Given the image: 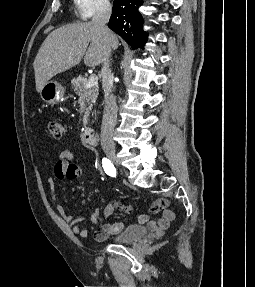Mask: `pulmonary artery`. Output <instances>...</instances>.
Wrapping results in <instances>:
<instances>
[{"mask_svg":"<svg viewBox=\"0 0 255 287\" xmlns=\"http://www.w3.org/2000/svg\"><path fill=\"white\" fill-rule=\"evenodd\" d=\"M122 33H131V32H122ZM127 39H129V38H127Z\"/></svg>","mask_w":255,"mask_h":287,"instance_id":"1","label":"pulmonary artery"}]
</instances>
